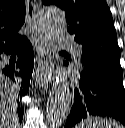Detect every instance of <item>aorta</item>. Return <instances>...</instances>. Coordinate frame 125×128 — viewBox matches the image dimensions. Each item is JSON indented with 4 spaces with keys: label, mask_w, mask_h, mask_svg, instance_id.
Segmentation results:
<instances>
[{
    "label": "aorta",
    "mask_w": 125,
    "mask_h": 128,
    "mask_svg": "<svg viewBox=\"0 0 125 128\" xmlns=\"http://www.w3.org/2000/svg\"><path fill=\"white\" fill-rule=\"evenodd\" d=\"M38 22L42 33L49 41L57 40L66 31L64 13L57 7H44L38 13ZM73 102L69 82L60 77L52 86L47 100L46 119L50 128L61 127L67 119Z\"/></svg>",
    "instance_id": "obj_1"
}]
</instances>
